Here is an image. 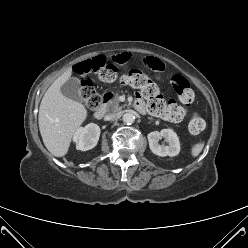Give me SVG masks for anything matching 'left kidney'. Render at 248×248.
Here are the masks:
<instances>
[{"mask_svg":"<svg viewBox=\"0 0 248 248\" xmlns=\"http://www.w3.org/2000/svg\"><path fill=\"white\" fill-rule=\"evenodd\" d=\"M150 150L158 156L174 157L180 152V142L177 134L172 129H162L147 135ZM164 138L168 145H160L159 139Z\"/></svg>","mask_w":248,"mask_h":248,"instance_id":"left-kidney-1","label":"left kidney"}]
</instances>
